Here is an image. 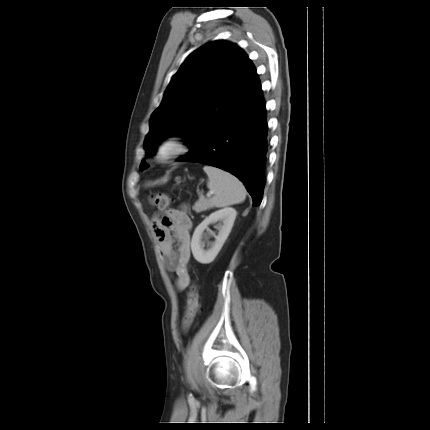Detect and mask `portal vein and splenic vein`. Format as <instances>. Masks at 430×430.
Listing matches in <instances>:
<instances>
[{"label": "portal vein and splenic vein", "instance_id": "obj_1", "mask_svg": "<svg viewBox=\"0 0 430 430\" xmlns=\"http://www.w3.org/2000/svg\"><path fill=\"white\" fill-rule=\"evenodd\" d=\"M212 195H213V192H208L206 196L211 197Z\"/></svg>", "mask_w": 430, "mask_h": 430}]
</instances>
